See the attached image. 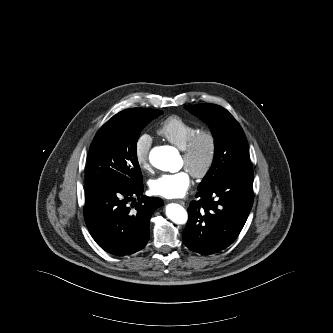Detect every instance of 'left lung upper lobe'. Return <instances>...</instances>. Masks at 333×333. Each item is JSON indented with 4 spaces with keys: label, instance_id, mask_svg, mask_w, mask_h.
I'll return each mask as SVG.
<instances>
[{
    "label": "left lung upper lobe",
    "instance_id": "obj_1",
    "mask_svg": "<svg viewBox=\"0 0 333 333\" xmlns=\"http://www.w3.org/2000/svg\"><path fill=\"white\" fill-rule=\"evenodd\" d=\"M185 108L210 125L215 142L213 164L198 190L230 174L253 170L243 129L226 109L215 104L187 105Z\"/></svg>",
    "mask_w": 333,
    "mask_h": 333
}]
</instances>
